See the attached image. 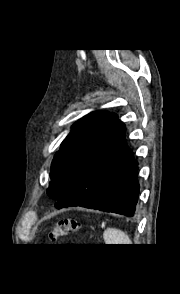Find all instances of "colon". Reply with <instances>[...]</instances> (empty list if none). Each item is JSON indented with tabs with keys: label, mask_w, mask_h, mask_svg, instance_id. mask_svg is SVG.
<instances>
[{
	"label": "colon",
	"mask_w": 180,
	"mask_h": 294,
	"mask_svg": "<svg viewBox=\"0 0 180 294\" xmlns=\"http://www.w3.org/2000/svg\"><path fill=\"white\" fill-rule=\"evenodd\" d=\"M80 229V223L73 218H66L57 221L50 229L48 237L51 242L59 238L76 233Z\"/></svg>",
	"instance_id": "1"
}]
</instances>
